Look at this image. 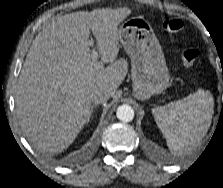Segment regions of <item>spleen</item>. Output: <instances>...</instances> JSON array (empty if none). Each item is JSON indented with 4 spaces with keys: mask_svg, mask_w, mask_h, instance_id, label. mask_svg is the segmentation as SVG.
I'll return each mask as SVG.
<instances>
[{
    "mask_svg": "<svg viewBox=\"0 0 223 188\" xmlns=\"http://www.w3.org/2000/svg\"><path fill=\"white\" fill-rule=\"evenodd\" d=\"M213 108L210 92L198 89L183 99L153 108L152 113L169 149L174 153H185L207 133Z\"/></svg>",
    "mask_w": 223,
    "mask_h": 188,
    "instance_id": "1",
    "label": "spleen"
}]
</instances>
